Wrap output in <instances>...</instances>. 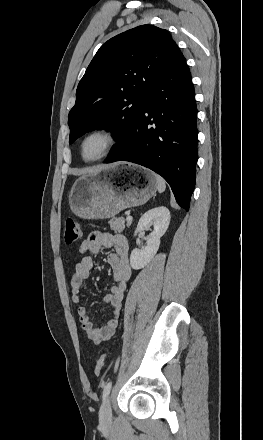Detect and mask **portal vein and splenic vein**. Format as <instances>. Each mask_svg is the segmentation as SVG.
I'll return each instance as SVG.
<instances>
[{
	"label": "portal vein and splenic vein",
	"mask_w": 263,
	"mask_h": 440,
	"mask_svg": "<svg viewBox=\"0 0 263 440\" xmlns=\"http://www.w3.org/2000/svg\"><path fill=\"white\" fill-rule=\"evenodd\" d=\"M126 220L127 222H131L133 220V217L131 215H127Z\"/></svg>",
	"instance_id": "1"
}]
</instances>
